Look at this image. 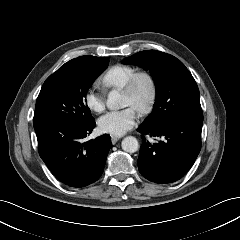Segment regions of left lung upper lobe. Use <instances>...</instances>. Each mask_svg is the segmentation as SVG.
<instances>
[{"mask_svg":"<svg viewBox=\"0 0 240 240\" xmlns=\"http://www.w3.org/2000/svg\"><path fill=\"white\" fill-rule=\"evenodd\" d=\"M123 61L149 70L155 82L156 101L143 125H161L180 118L203 121L198 86L180 60L164 52L148 50Z\"/></svg>","mask_w":240,"mask_h":240,"instance_id":"left-lung-upper-lobe-1","label":"left lung upper lobe"}]
</instances>
